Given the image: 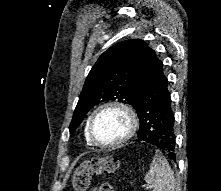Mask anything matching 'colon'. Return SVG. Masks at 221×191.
<instances>
[{
  "mask_svg": "<svg viewBox=\"0 0 221 191\" xmlns=\"http://www.w3.org/2000/svg\"><path fill=\"white\" fill-rule=\"evenodd\" d=\"M119 168V160L114 156L94 157L83 161L72 177L74 191H87L91 180L98 175H113ZM99 191H114L113 185L104 181Z\"/></svg>",
  "mask_w": 221,
  "mask_h": 191,
  "instance_id": "1",
  "label": "colon"
}]
</instances>
